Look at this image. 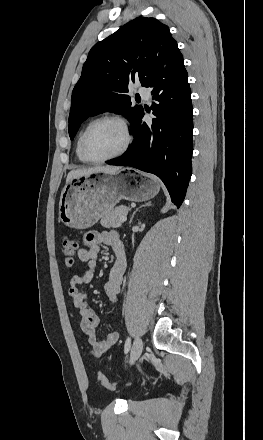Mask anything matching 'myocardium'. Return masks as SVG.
Listing matches in <instances>:
<instances>
[{"mask_svg":"<svg viewBox=\"0 0 263 440\" xmlns=\"http://www.w3.org/2000/svg\"><path fill=\"white\" fill-rule=\"evenodd\" d=\"M104 121H111L116 123L123 131L124 134V141L122 146L113 154L105 156V157H100V158H95L92 157L86 148V141L88 138L89 133L91 132V130L99 123L104 122ZM132 143V133L130 130V127L127 123V121L118 116V115H114V114H107V115H103L100 116L94 120H92L84 129L81 139H80V144H79V148H80V153L82 158L89 163H103V162H107L110 160H113L115 158H118L120 156H122L130 147Z\"/></svg>","mask_w":263,"mask_h":440,"instance_id":"f54148a6","label":"myocardium"}]
</instances>
